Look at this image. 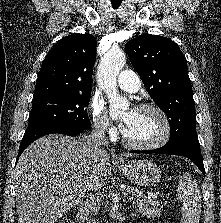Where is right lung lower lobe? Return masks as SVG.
Instances as JSON below:
<instances>
[{"instance_id":"right-lung-lower-lobe-1","label":"right lung lower lobe","mask_w":221,"mask_h":223,"mask_svg":"<svg viewBox=\"0 0 221 223\" xmlns=\"http://www.w3.org/2000/svg\"><path fill=\"white\" fill-rule=\"evenodd\" d=\"M85 129H80V128H73L65 125H50V126H45L41 127L39 129H35L32 131H26L22 141L20 143L19 147V153L17 156V160L19 159V156L22 154V152L36 139L48 135V134H53V133H60V134H65L69 136H76L80 133H82Z\"/></svg>"}]
</instances>
